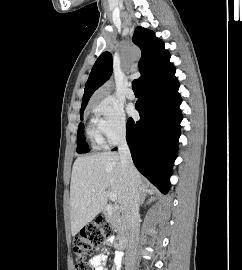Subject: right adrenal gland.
I'll return each instance as SVG.
<instances>
[{
    "label": "right adrenal gland",
    "mask_w": 242,
    "mask_h": 270,
    "mask_svg": "<svg viewBox=\"0 0 242 270\" xmlns=\"http://www.w3.org/2000/svg\"><path fill=\"white\" fill-rule=\"evenodd\" d=\"M140 193H141L140 203L142 204L143 201H144V199H145V196H146L147 194H149L150 191H149L147 188H142V189L140 190Z\"/></svg>",
    "instance_id": "1"
}]
</instances>
